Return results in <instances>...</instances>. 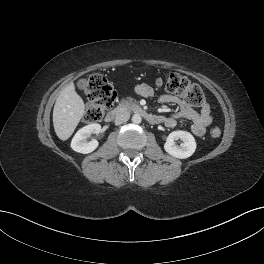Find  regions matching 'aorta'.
<instances>
[{"label": "aorta", "instance_id": "762f6f07", "mask_svg": "<svg viewBox=\"0 0 264 264\" xmlns=\"http://www.w3.org/2000/svg\"><path fill=\"white\" fill-rule=\"evenodd\" d=\"M142 121V118L139 114H134L132 116V122L135 123V124H140Z\"/></svg>", "mask_w": 264, "mask_h": 264}]
</instances>
